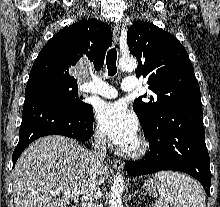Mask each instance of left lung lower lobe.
Instances as JSON below:
<instances>
[{"label": "left lung lower lobe", "mask_w": 220, "mask_h": 207, "mask_svg": "<svg viewBox=\"0 0 220 207\" xmlns=\"http://www.w3.org/2000/svg\"><path fill=\"white\" fill-rule=\"evenodd\" d=\"M144 135L150 143L149 151L141 160L125 163L129 175L182 171L196 178L210 196V158L205 144L201 103L177 107Z\"/></svg>", "instance_id": "left-lung-lower-lobe-1"}]
</instances>
